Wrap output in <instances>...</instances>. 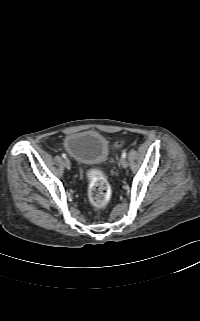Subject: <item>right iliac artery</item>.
Instances as JSON below:
<instances>
[{"label":"right iliac artery","instance_id":"1","mask_svg":"<svg viewBox=\"0 0 200 321\" xmlns=\"http://www.w3.org/2000/svg\"><path fill=\"white\" fill-rule=\"evenodd\" d=\"M62 157H63V158H66V154H65V153H63V154H62Z\"/></svg>","mask_w":200,"mask_h":321}]
</instances>
